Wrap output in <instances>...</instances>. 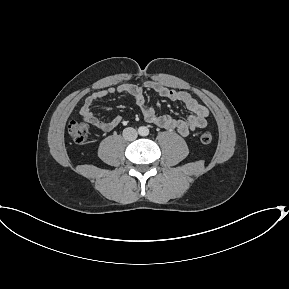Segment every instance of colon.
I'll return each instance as SVG.
<instances>
[{"label": "colon", "mask_w": 289, "mask_h": 289, "mask_svg": "<svg viewBox=\"0 0 289 289\" xmlns=\"http://www.w3.org/2000/svg\"><path fill=\"white\" fill-rule=\"evenodd\" d=\"M90 132V127L87 121L71 120L68 124V133L72 139L78 143L83 144L87 141ZM213 140V135L210 131H203L200 134V141L203 144H209Z\"/></svg>", "instance_id": "5ec220e1"}]
</instances>
